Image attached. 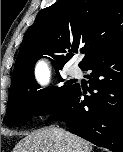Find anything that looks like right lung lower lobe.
<instances>
[{"label":"right lung lower lobe","instance_id":"obj_1","mask_svg":"<svg viewBox=\"0 0 123 152\" xmlns=\"http://www.w3.org/2000/svg\"><path fill=\"white\" fill-rule=\"evenodd\" d=\"M82 70H91L89 95L80 86L46 123L67 122L71 133L113 152H123V39L109 45Z\"/></svg>","mask_w":123,"mask_h":152}]
</instances>
